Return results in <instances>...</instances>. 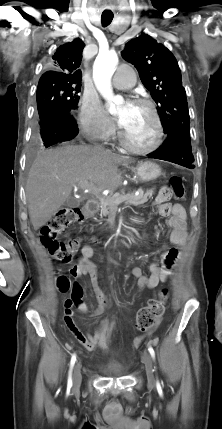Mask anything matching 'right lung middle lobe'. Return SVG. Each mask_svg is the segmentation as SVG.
I'll return each instance as SVG.
<instances>
[{
    "label": "right lung middle lobe",
    "instance_id": "1",
    "mask_svg": "<svg viewBox=\"0 0 222 429\" xmlns=\"http://www.w3.org/2000/svg\"><path fill=\"white\" fill-rule=\"evenodd\" d=\"M81 83L73 80H39L36 101L39 124L55 113H72L78 105Z\"/></svg>",
    "mask_w": 222,
    "mask_h": 429
}]
</instances>
